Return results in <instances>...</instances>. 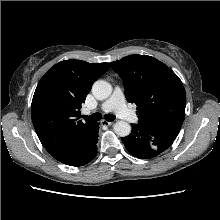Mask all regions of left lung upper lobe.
Wrapping results in <instances>:
<instances>
[{
	"label": "left lung upper lobe",
	"mask_w": 220,
	"mask_h": 220,
	"mask_svg": "<svg viewBox=\"0 0 220 220\" xmlns=\"http://www.w3.org/2000/svg\"><path fill=\"white\" fill-rule=\"evenodd\" d=\"M123 79L125 97L137 105L138 124L154 126L174 140L183 124L186 93L179 77L148 55H130L110 63Z\"/></svg>",
	"instance_id": "left-lung-upper-lobe-1"
}]
</instances>
